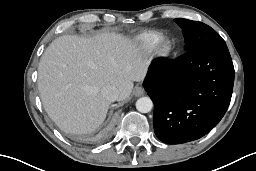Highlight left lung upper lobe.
Returning a JSON list of instances; mask_svg holds the SVG:
<instances>
[{
    "mask_svg": "<svg viewBox=\"0 0 256 171\" xmlns=\"http://www.w3.org/2000/svg\"><path fill=\"white\" fill-rule=\"evenodd\" d=\"M175 22L182 28L185 50L206 44H223L225 41L210 26L188 19L177 18Z\"/></svg>",
    "mask_w": 256,
    "mask_h": 171,
    "instance_id": "left-lung-upper-lobe-1",
    "label": "left lung upper lobe"
}]
</instances>
